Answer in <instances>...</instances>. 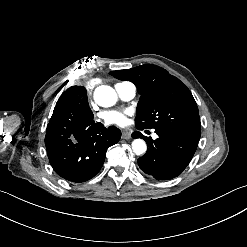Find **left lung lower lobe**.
<instances>
[{"instance_id": "1", "label": "left lung lower lobe", "mask_w": 247, "mask_h": 247, "mask_svg": "<svg viewBox=\"0 0 247 247\" xmlns=\"http://www.w3.org/2000/svg\"><path fill=\"white\" fill-rule=\"evenodd\" d=\"M159 138L152 140L135 131L132 136L143 138L147 152L138 159L142 171L157 180H168L180 175L191 161L199 140L176 131L155 130Z\"/></svg>"}]
</instances>
